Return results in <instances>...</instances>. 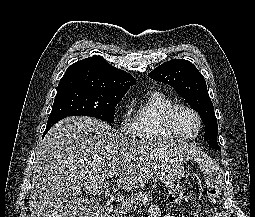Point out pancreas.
I'll return each instance as SVG.
<instances>
[{"label": "pancreas", "mask_w": 255, "mask_h": 217, "mask_svg": "<svg viewBox=\"0 0 255 217\" xmlns=\"http://www.w3.org/2000/svg\"><path fill=\"white\" fill-rule=\"evenodd\" d=\"M153 200L151 192H135L114 208L112 217H126L127 214L140 206H147Z\"/></svg>", "instance_id": "cf45deb5"}]
</instances>
